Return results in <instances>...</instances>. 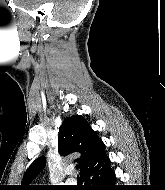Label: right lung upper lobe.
I'll use <instances>...</instances> for the list:
<instances>
[{
	"instance_id": "1",
	"label": "right lung upper lobe",
	"mask_w": 165,
	"mask_h": 190,
	"mask_svg": "<svg viewBox=\"0 0 165 190\" xmlns=\"http://www.w3.org/2000/svg\"><path fill=\"white\" fill-rule=\"evenodd\" d=\"M58 152L60 155H69L78 152L81 154L76 161L80 164V174L93 168L106 156L104 143L88 122L80 115H74L64 120L59 130ZM46 165V158L36 159L23 176L20 189L36 190L39 186L30 185V182L40 173Z\"/></svg>"
}]
</instances>
